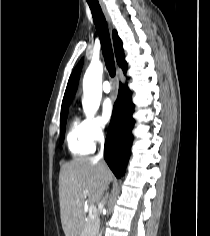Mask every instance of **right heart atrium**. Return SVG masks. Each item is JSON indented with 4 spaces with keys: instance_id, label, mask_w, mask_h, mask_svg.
I'll use <instances>...</instances> for the list:
<instances>
[{
    "instance_id": "1",
    "label": "right heart atrium",
    "mask_w": 210,
    "mask_h": 236,
    "mask_svg": "<svg viewBox=\"0 0 210 236\" xmlns=\"http://www.w3.org/2000/svg\"><path fill=\"white\" fill-rule=\"evenodd\" d=\"M86 131L90 140L95 143L104 136V125L99 117H90L86 119Z\"/></svg>"
}]
</instances>
